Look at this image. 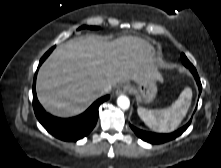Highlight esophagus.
I'll use <instances>...</instances> for the list:
<instances>
[{"instance_id":"34e87169","label":"esophagus","mask_w":221,"mask_h":168,"mask_svg":"<svg viewBox=\"0 0 221 168\" xmlns=\"http://www.w3.org/2000/svg\"><path fill=\"white\" fill-rule=\"evenodd\" d=\"M130 89V87L128 85H121L117 88L116 90V94L117 95H121L126 93L128 90Z\"/></svg>"}]
</instances>
